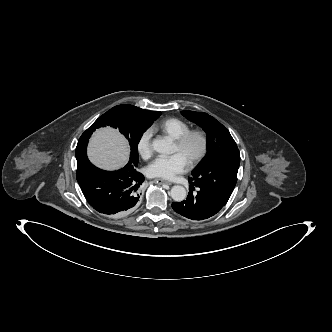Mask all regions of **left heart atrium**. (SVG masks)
I'll return each instance as SVG.
<instances>
[{"mask_svg":"<svg viewBox=\"0 0 332 332\" xmlns=\"http://www.w3.org/2000/svg\"><path fill=\"white\" fill-rule=\"evenodd\" d=\"M187 161L180 154L175 153L171 156H159L148 167L147 175L151 178L171 180L176 175L185 172Z\"/></svg>","mask_w":332,"mask_h":332,"instance_id":"left-heart-atrium-1","label":"left heart atrium"}]
</instances>
